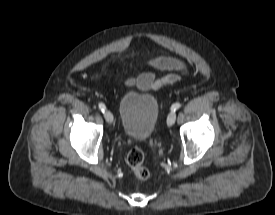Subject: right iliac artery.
<instances>
[{"instance_id": "right-iliac-artery-1", "label": "right iliac artery", "mask_w": 275, "mask_h": 215, "mask_svg": "<svg viewBox=\"0 0 275 215\" xmlns=\"http://www.w3.org/2000/svg\"><path fill=\"white\" fill-rule=\"evenodd\" d=\"M99 109L104 113V111L106 110V106L103 103H99L98 104Z\"/></svg>"}]
</instances>
